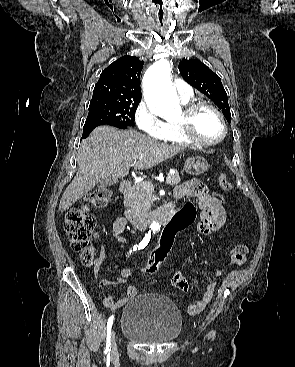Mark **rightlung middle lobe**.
<instances>
[{"instance_id": "dd1d6c3e", "label": "right lung middle lobe", "mask_w": 295, "mask_h": 367, "mask_svg": "<svg viewBox=\"0 0 295 367\" xmlns=\"http://www.w3.org/2000/svg\"><path fill=\"white\" fill-rule=\"evenodd\" d=\"M139 102L140 100L109 95H93L82 137L100 125H111L118 128L134 126L135 112Z\"/></svg>"}]
</instances>
